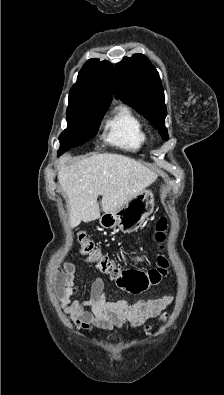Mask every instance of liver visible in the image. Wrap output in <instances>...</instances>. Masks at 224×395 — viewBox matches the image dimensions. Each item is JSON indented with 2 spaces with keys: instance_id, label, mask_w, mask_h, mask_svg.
<instances>
[{
  "instance_id": "obj_1",
  "label": "liver",
  "mask_w": 224,
  "mask_h": 395,
  "mask_svg": "<svg viewBox=\"0 0 224 395\" xmlns=\"http://www.w3.org/2000/svg\"><path fill=\"white\" fill-rule=\"evenodd\" d=\"M57 168L71 227L100 217L99 195L102 210L114 212L156 180V174L146 166L113 153L95 154L72 163L70 155H63Z\"/></svg>"
}]
</instances>
